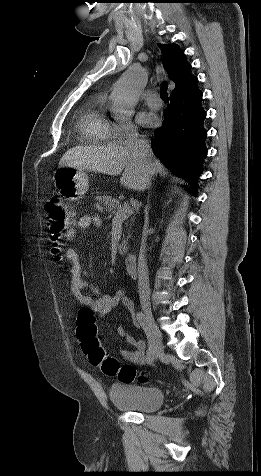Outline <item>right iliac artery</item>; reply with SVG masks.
Wrapping results in <instances>:
<instances>
[{"label": "right iliac artery", "mask_w": 261, "mask_h": 476, "mask_svg": "<svg viewBox=\"0 0 261 476\" xmlns=\"http://www.w3.org/2000/svg\"><path fill=\"white\" fill-rule=\"evenodd\" d=\"M136 318L138 323L144 330V333L147 335V338H148L147 361L148 363H152L155 357V353L153 350V347L155 346L154 337L152 335L153 331L151 330V328L148 327L147 318L142 312H138Z\"/></svg>", "instance_id": "obj_1"}]
</instances>
